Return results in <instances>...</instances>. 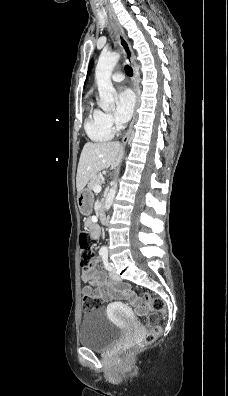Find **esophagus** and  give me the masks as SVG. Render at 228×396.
Wrapping results in <instances>:
<instances>
[{"instance_id": "obj_1", "label": "esophagus", "mask_w": 228, "mask_h": 396, "mask_svg": "<svg viewBox=\"0 0 228 396\" xmlns=\"http://www.w3.org/2000/svg\"><path fill=\"white\" fill-rule=\"evenodd\" d=\"M109 16L110 19L112 20L116 33H117V38H118V42L119 45L121 46L123 52H124V56H125V62L130 64L133 68L134 71V78H133V89L135 91L136 94V104H135V109H134V113H133V118L132 121L129 125V128L127 130V132L125 133L123 139H122V144L126 145L129 137L131 135L132 129H133V125L136 121V117H137V108L139 105V72L138 69L135 65V60H134V52L132 50L131 44L129 43L125 31L122 28V26L120 25L119 21L117 20L115 14L109 10Z\"/></svg>"}]
</instances>
